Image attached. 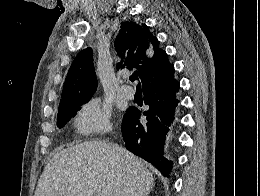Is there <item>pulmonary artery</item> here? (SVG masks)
<instances>
[{
    "instance_id": "pulmonary-artery-1",
    "label": "pulmonary artery",
    "mask_w": 260,
    "mask_h": 196,
    "mask_svg": "<svg viewBox=\"0 0 260 196\" xmlns=\"http://www.w3.org/2000/svg\"><path fill=\"white\" fill-rule=\"evenodd\" d=\"M120 94L126 99H132L135 95V90L130 85H125L120 89Z\"/></svg>"
}]
</instances>
